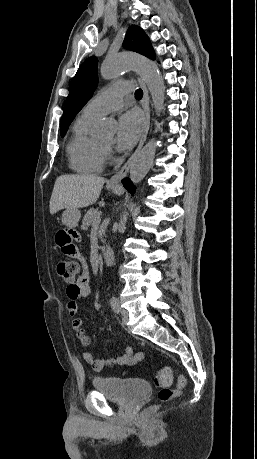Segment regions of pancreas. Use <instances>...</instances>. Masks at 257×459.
I'll use <instances>...</instances> for the list:
<instances>
[{"label": "pancreas", "mask_w": 257, "mask_h": 459, "mask_svg": "<svg viewBox=\"0 0 257 459\" xmlns=\"http://www.w3.org/2000/svg\"><path fill=\"white\" fill-rule=\"evenodd\" d=\"M100 214L98 208H91L89 209L86 214L84 215V218L82 220V229L87 230L88 227L93 224V221L97 216Z\"/></svg>", "instance_id": "obj_1"}]
</instances>
